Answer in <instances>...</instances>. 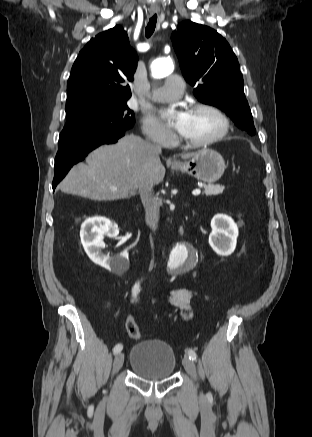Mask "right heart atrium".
I'll list each match as a JSON object with an SVG mask.
<instances>
[{
    "instance_id": "d8ad5b80",
    "label": "right heart atrium",
    "mask_w": 312,
    "mask_h": 437,
    "mask_svg": "<svg viewBox=\"0 0 312 437\" xmlns=\"http://www.w3.org/2000/svg\"><path fill=\"white\" fill-rule=\"evenodd\" d=\"M142 131L148 139L160 146L173 143L174 135L152 116H146L142 120Z\"/></svg>"
}]
</instances>
